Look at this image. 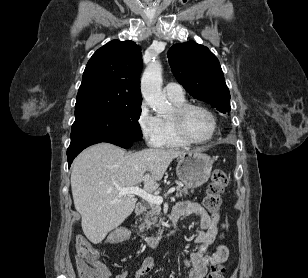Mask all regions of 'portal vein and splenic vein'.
<instances>
[{
    "instance_id": "obj_1",
    "label": "portal vein and splenic vein",
    "mask_w": 308,
    "mask_h": 278,
    "mask_svg": "<svg viewBox=\"0 0 308 278\" xmlns=\"http://www.w3.org/2000/svg\"><path fill=\"white\" fill-rule=\"evenodd\" d=\"M175 192V187H172L168 190V192L165 194L169 195L171 193ZM138 195L144 200H146L148 203H153V204H162L163 202V197L159 195H153L144 189H141L138 185L136 186H131V187H118V196H124V195Z\"/></svg>"
}]
</instances>
